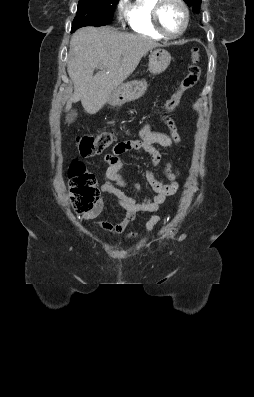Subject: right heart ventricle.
<instances>
[{"label": "right heart ventricle", "instance_id": "right-heart-ventricle-1", "mask_svg": "<svg viewBox=\"0 0 254 397\" xmlns=\"http://www.w3.org/2000/svg\"><path fill=\"white\" fill-rule=\"evenodd\" d=\"M156 2L157 0H133L128 6L127 21L134 33L161 40L164 37L155 29L152 18Z\"/></svg>", "mask_w": 254, "mask_h": 397}]
</instances>
